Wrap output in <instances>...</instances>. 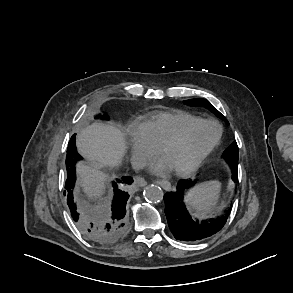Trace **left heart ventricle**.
I'll list each match as a JSON object with an SVG mask.
<instances>
[{
	"mask_svg": "<svg viewBox=\"0 0 293 293\" xmlns=\"http://www.w3.org/2000/svg\"><path fill=\"white\" fill-rule=\"evenodd\" d=\"M217 127L201 124L188 131L184 140L162 153L171 169L184 168L193 162L213 141L217 135Z\"/></svg>",
	"mask_w": 293,
	"mask_h": 293,
	"instance_id": "obj_1",
	"label": "left heart ventricle"
}]
</instances>
